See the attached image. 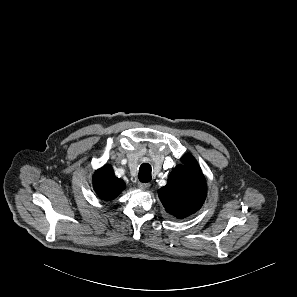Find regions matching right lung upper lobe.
Instances as JSON below:
<instances>
[{"label":"right lung upper lobe","instance_id":"obj_1","mask_svg":"<svg viewBox=\"0 0 297 297\" xmlns=\"http://www.w3.org/2000/svg\"><path fill=\"white\" fill-rule=\"evenodd\" d=\"M93 187L100 198L112 200L121 193L125 184L122 179L114 175L110 165H105L94 173Z\"/></svg>","mask_w":297,"mask_h":297}]
</instances>
